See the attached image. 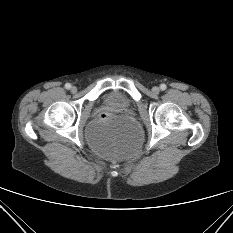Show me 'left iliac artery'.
<instances>
[{
	"instance_id": "1",
	"label": "left iliac artery",
	"mask_w": 233,
	"mask_h": 233,
	"mask_svg": "<svg viewBox=\"0 0 233 233\" xmlns=\"http://www.w3.org/2000/svg\"><path fill=\"white\" fill-rule=\"evenodd\" d=\"M166 88H167V86H166L165 84H161V85H160V89H161V90H165Z\"/></svg>"
}]
</instances>
